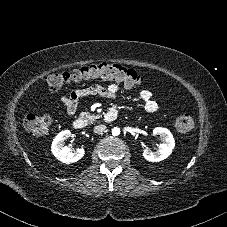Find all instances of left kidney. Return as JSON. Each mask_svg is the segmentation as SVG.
Instances as JSON below:
<instances>
[{
	"mask_svg": "<svg viewBox=\"0 0 227 227\" xmlns=\"http://www.w3.org/2000/svg\"><path fill=\"white\" fill-rule=\"evenodd\" d=\"M153 133L154 135L160 136L162 144L160 145L159 150L156 152L145 149L143 151V157L150 162H160L171 155L175 146V140L171 132L166 128H155Z\"/></svg>",
	"mask_w": 227,
	"mask_h": 227,
	"instance_id": "obj_1",
	"label": "left kidney"
}]
</instances>
